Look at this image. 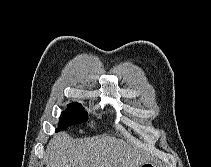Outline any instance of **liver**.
I'll use <instances>...</instances> for the list:
<instances>
[{"label": "liver", "instance_id": "obj_1", "mask_svg": "<svg viewBox=\"0 0 211 167\" xmlns=\"http://www.w3.org/2000/svg\"><path fill=\"white\" fill-rule=\"evenodd\" d=\"M47 167H139L148 159L138 149L110 136L74 140L66 133L47 146Z\"/></svg>", "mask_w": 211, "mask_h": 167}]
</instances>
